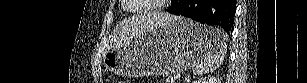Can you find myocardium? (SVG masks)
Returning <instances> with one entry per match:
<instances>
[{
	"label": "myocardium",
	"instance_id": "f54148a6",
	"mask_svg": "<svg viewBox=\"0 0 307 83\" xmlns=\"http://www.w3.org/2000/svg\"><path fill=\"white\" fill-rule=\"evenodd\" d=\"M124 1L128 3L126 5V9L129 10L130 12L137 13V14L149 13V12H152L158 9H162L164 4L169 2V0H157V1H160L159 4H152V5H148L141 9H135L130 4V0H124Z\"/></svg>",
	"mask_w": 307,
	"mask_h": 83
}]
</instances>
